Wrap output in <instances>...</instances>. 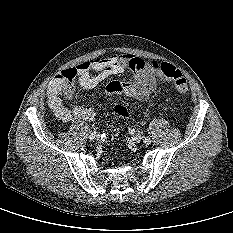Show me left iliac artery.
<instances>
[{
	"instance_id": "left-iliac-artery-1",
	"label": "left iliac artery",
	"mask_w": 233,
	"mask_h": 233,
	"mask_svg": "<svg viewBox=\"0 0 233 233\" xmlns=\"http://www.w3.org/2000/svg\"><path fill=\"white\" fill-rule=\"evenodd\" d=\"M144 142L147 143V144H150V143H151V140H150V138L145 137Z\"/></svg>"
}]
</instances>
